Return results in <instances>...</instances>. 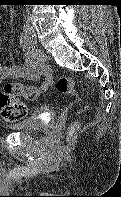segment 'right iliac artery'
Masks as SVG:
<instances>
[{"mask_svg":"<svg viewBox=\"0 0 121 197\" xmlns=\"http://www.w3.org/2000/svg\"><path fill=\"white\" fill-rule=\"evenodd\" d=\"M24 34L27 42L35 49L37 53L42 57V53L40 52L39 48L37 47L36 43L33 41V38L30 33V29L28 26L24 25Z\"/></svg>","mask_w":121,"mask_h":197,"instance_id":"obj_1","label":"right iliac artery"}]
</instances>
